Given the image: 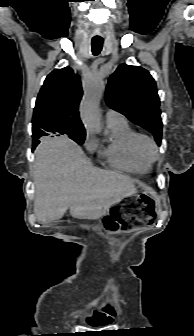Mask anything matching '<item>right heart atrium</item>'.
<instances>
[{
	"mask_svg": "<svg viewBox=\"0 0 194 336\" xmlns=\"http://www.w3.org/2000/svg\"><path fill=\"white\" fill-rule=\"evenodd\" d=\"M85 144L89 149H93L96 145L94 137L89 132L85 135Z\"/></svg>",
	"mask_w": 194,
	"mask_h": 336,
	"instance_id": "obj_1",
	"label": "right heart atrium"
}]
</instances>
